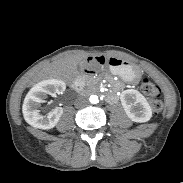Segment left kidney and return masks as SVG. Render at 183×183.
Here are the masks:
<instances>
[{
    "label": "left kidney",
    "mask_w": 183,
    "mask_h": 183,
    "mask_svg": "<svg viewBox=\"0 0 183 183\" xmlns=\"http://www.w3.org/2000/svg\"><path fill=\"white\" fill-rule=\"evenodd\" d=\"M121 104L126 115L134 122H147L152 117V109L145 97L137 90L127 89L121 93Z\"/></svg>",
    "instance_id": "1"
}]
</instances>
